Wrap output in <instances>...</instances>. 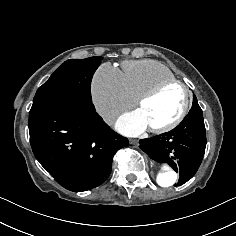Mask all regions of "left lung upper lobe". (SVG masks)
Masks as SVG:
<instances>
[{
	"label": "left lung upper lobe",
	"instance_id": "5c2ea615",
	"mask_svg": "<svg viewBox=\"0 0 236 236\" xmlns=\"http://www.w3.org/2000/svg\"><path fill=\"white\" fill-rule=\"evenodd\" d=\"M191 113H202V110H201L200 106L198 105L196 96H194V98H193V105L189 111V114H191Z\"/></svg>",
	"mask_w": 236,
	"mask_h": 236
}]
</instances>
